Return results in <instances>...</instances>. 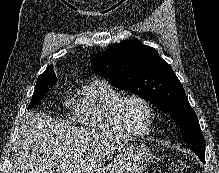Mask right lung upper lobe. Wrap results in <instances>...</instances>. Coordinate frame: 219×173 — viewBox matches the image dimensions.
<instances>
[{
  "label": "right lung upper lobe",
  "mask_w": 219,
  "mask_h": 173,
  "mask_svg": "<svg viewBox=\"0 0 219 173\" xmlns=\"http://www.w3.org/2000/svg\"><path fill=\"white\" fill-rule=\"evenodd\" d=\"M54 73V71H53V65H50L46 70H45V72L44 73H42L41 75H43V74H53ZM55 74V73H54ZM56 80H57V78H55Z\"/></svg>",
  "instance_id": "obj_1"
}]
</instances>
